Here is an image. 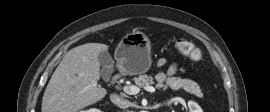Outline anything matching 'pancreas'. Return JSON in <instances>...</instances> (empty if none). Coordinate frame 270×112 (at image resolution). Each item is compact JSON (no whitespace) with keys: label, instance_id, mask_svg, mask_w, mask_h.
<instances>
[{"label":"pancreas","instance_id":"1","mask_svg":"<svg viewBox=\"0 0 270 112\" xmlns=\"http://www.w3.org/2000/svg\"><path fill=\"white\" fill-rule=\"evenodd\" d=\"M134 81L140 87H146L154 84L153 77L146 74L135 77ZM156 87H170L175 90L184 89L186 92L194 94L197 97H203V93L201 92L199 85L190 79H182L180 77H168L157 83Z\"/></svg>","mask_w":270,"mask_h":112}]
</instances>
